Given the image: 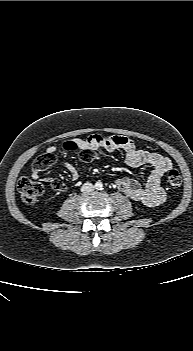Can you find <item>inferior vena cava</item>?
Segmentation results:
<instances>
[{"label": "inferior vena cava", "instance_id": "1", "mask_svg": "<svg viewBox=\"0 0 193 351\" xmlns=\"http://www.w3.org/2000/svg\"><path fill=\"white\" fill-rule=\"evenodd\" d=\"M94 185L90 182H86L82 185L81 187V191L84 193V194H87V193H90L94 190Z\"/></svg>", "mask_w": 193, "mask_h": 351}]
</instances>
